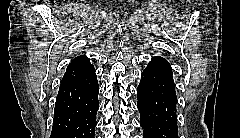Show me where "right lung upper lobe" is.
I'll list each match as a JSON object with an SVG mask.
<instances>
[{"instance_id": "obj_1", "label": "right lung upper lobe", "mask_w": 240, "mask_h": 138, "mask_svg": "<svg viewBox=\"0 0 240 138\" xmlns=\"http://www.w3.org/2000/svg\"><path fill=\"white\" fill-rule=\"evenodd\" d=\"M95 73L94 66L91 65L90 60L85 56H79L71 61L62 78L61 86L77 83L88 78Z\"/></svg>"}]
</instances>
